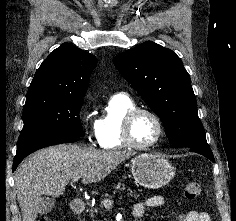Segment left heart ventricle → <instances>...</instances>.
Returning a JSON list of instances; mask_svg holds the SVG:
<instances>
[{"instance_id": "left-heart-ventricle-1", "label": "left heart ventricle", "mask_w": 236, "mask_h": 221, "mask_svg": "<svg viewBox=\"0 0 236 221\" xmlns=\"http://www.w3.org/2000/svg\"><path fill=\"white\" fill-rule=\"evenodd\" d=\"M158 134V127L154 119L147 114L138 115L132 124V137L138 144L145 145L152 142Z\"/></svg>"}]
</instances>
